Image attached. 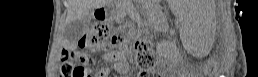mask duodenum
I'll return each mask as SVG.
<instances>
[{"label": "duodenum", "instance_id": "410a0bca", "mask_svg": "<svg viewBox=\"0 0 258 77\" xmlns=\"http://www.w3.org/2000/svg\"><path fill=\"white\" fill-rule=\"evenodd\" d=\"M100 11H101V15H102V14L104 13V10H103V9H101Z\"/></svg>", "mask_w": 258, "mask_h": 77}]
</instances>
